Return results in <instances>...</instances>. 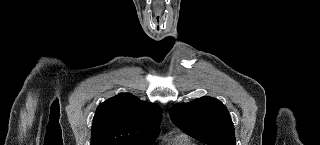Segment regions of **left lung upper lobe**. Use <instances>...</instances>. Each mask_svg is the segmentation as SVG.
Here are the masks:
<instances>
[{"mask_svg": "<svg viewBox=\"0 0 320 145\" xmlns=\"http://www.w3.org/2000/svg\"><path fill=\"white\" fill-rule=\"evenodd\" d=\"M169 115L189 136L208 145H236L234 126L224 104L212 97L176 104Z\"/></svg>", "mask_w": 320, "mask_h": 145, "instance_id": "obj_1", "label": "left lung upper lobe"}]
</instances>
